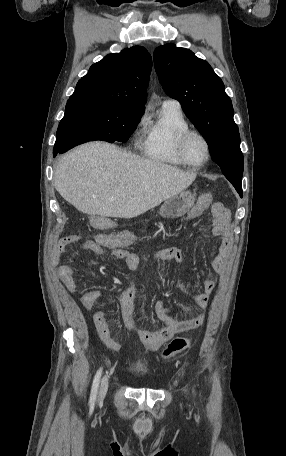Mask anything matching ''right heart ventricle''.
<instances>
[{
	"instance_id": "obj_1",
	"label": "right heart ventricle",
	"mask_w": 286,
	"mask_h": 456,
	"mask_svg": "<svg viewBox=\"0 0 286 456\" xmlns=\"http://www.w3.org/2000/svg\"><path fill=\"white\" fill-rule=\"evenodd\" d=\"M189 128L181 109L162 106L156 118L148 121L144 128L139 141L142 154L156 163L185 165L175 151V139Z\"/></svg>"
}]
</instances>
